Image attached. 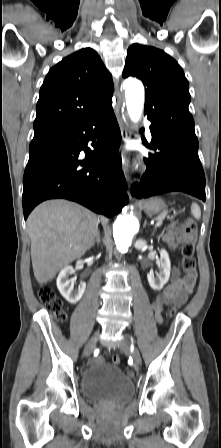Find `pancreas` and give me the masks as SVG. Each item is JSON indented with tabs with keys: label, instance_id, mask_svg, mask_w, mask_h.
Masks as SVG:
<instances>
[{
	"label": "pancreas",
	"instance_id": "pancreas-1",
	"mask_svg": "<svg viewBox=\"0 0 221 448\" xmlns=\"http://www.w3.org/2000/svg\"><path fill=\"white\" fill-rule=\"evenodd\" d=\"M163 216H164V215H159V216H158V217H156L155 219H156L157 221H160V220L162 221V219H163Z\"/></svg>",
	"mask_w": 221,
	"mask_h": 448
}]
</instances>
